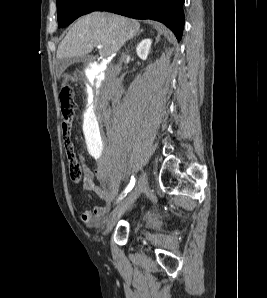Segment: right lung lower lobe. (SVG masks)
<instances>
[{
	"mask_svg": "<svg viewBox=\"0 0 267 298\" xmlns=\"http://www.w3.org/2000/svg\"><path fill=\"white\" fill-rule=\"evenodd\" d=\"M183 4L184 0H104L94 11L162 22L180 40L184 26Z\"/></svg>",
	"mask_w": 267,
	"mask_h": 298,
	"instance_id": "obj_1",
	"label": "right lung lower lobe"
}]
</instances>
